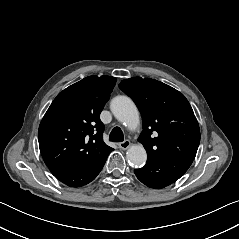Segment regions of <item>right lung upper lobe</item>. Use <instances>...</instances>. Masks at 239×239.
Here are the masks:
<instances>
[{
    "label": "right lung upper lobe",
    "mask_w": 239,
    "mask_h": 239,
    "mask_svg": "<svg viewBox=\"0 0 239 239\" xmlns=\"http://www.w3.org/2000/svg\"><path fill=\"white\" fill-rule=\"evenodd\" d=\"M115 84L111 76H88L57 95L38 130L48 168L89 166L113 150L103 142L99 116Z\"/></svg>",
    "instance_id": "right-lung-upper-lobe-1"
}]
</instances>
